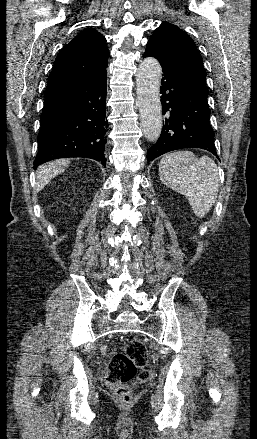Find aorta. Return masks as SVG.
Listing matches in <instances>:
<instances>
[{"label":"aorta","mask_w":257,"mask_h":439,"mask_svg":"<svg viewBox=\"0 0 257 439\" xmlns=\"http://www.w3.org/2000/svg\"><path fill=\"white\" fill-rule=\"evenodd\" d=\"M161 66L148 57L140 62L137 71V102L145 138L156 141L162 130V107L159 96Z\"/></svg>","instance_id":"obj_1"}]
</instances>
